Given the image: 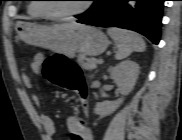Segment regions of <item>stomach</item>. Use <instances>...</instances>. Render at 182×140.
I'll return each mask as SVG.
<instances>
[{
  "instance_id": "stomach-1",
  "label": "stomach",
  "mask_w": 182,
  "mask_h": 140,
  "mask_svg": "<svg viewBox=\"0 0 182 140\" xmlns=\"http://www.w3.org/2000/svg\"><path fill=\"white\" fill-rule=\"evenodd\" d=\"M16 32L28 44L42 46L67 56H73L76 52L97 56L109 45L107 36L101 30L87 25L61 28L18 21Z\"/></svg>"
}]
</instances>
